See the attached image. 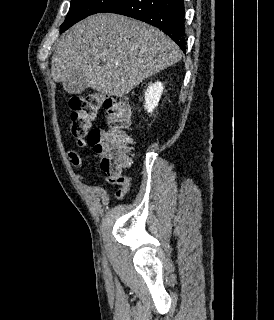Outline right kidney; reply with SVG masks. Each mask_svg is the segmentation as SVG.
<instances>
[{"label":"right kidney","mask_w":274,"mask_h":320,"mask_svg":"<svg viewBox=\"0 0 274 320\" xmlns=\"http://www.w3.org/2000/svg\"><path fill=\"white\" fill-rule=\"evenodd\" d=\"M163 84L162 82H155V84H149L146 92H145V110L151 114L153 110H155L156 106H158V102L162 96L163 92Z\"/></svg>","instance_id":"right-kidney-1"}]
</instances>
